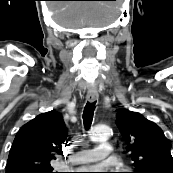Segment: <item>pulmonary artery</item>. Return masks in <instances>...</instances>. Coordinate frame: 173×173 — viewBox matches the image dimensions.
Segmentation results:
<instances>
[{"mask_svg":"<svg viewBox=\"0 0 173 173\" xmlns=\"http://www.w3.org/2000/svg\"><path fill=\"white\" fill-rule=\"evenodd\" d=\"M112 153V146L108 142H101L98 147L76 152L69 160L71 164H90L98 162Z\"/></svg>","mask_w":173,"mask_h":173,"instance_id":"obj_1","label":"pulmonary artery"}]
</instances>
